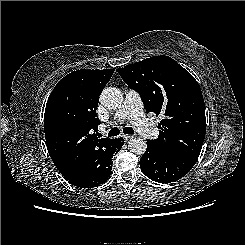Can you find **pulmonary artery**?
<instances>
[{
    "label": "pulmonary artery",
    "instance_id": "obj_1",
    "mask_svg": "<svg viewBox=\"0 0 245 245\" xmlns=\"http://www.w3.org/2000/svg\"><path fill=\"white\" fill-rule=\"evenodd\" d=\"M116 118L119 122L130 119L138 133L146 139H154L158 135V130L145 115L140 95L135 91L130 90L126 93Z\"/></svg>",
    "mask_w": 245,
    "mask_h": 245
}]
</instances>
